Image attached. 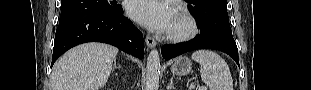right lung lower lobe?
<instances>
[{
	"mask_svg": "<svg viewBox=\"0 0 311 90\" xmlns=\"http://www.w3.org/2000/svg\"><path fill=\"white\" fill-rule=\"evenodd\" d=\"M103 42L126 53L144 57L143 35L123 16L122 7L111 14H90L60 23L55 34L52 64L68 49L86 42Z\"/></svg>",
	"mask_w": 311,
	"mask_h": 90,
	"instance_id": "obj_1",
	"label": "right lung lower lobe"
}]
</instances>
